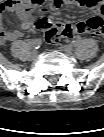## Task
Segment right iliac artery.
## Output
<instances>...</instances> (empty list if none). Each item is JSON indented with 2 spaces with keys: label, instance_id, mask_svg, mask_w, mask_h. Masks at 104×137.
<instances>
[{
  "label": "right iliac artery",
  "instance_id": "right-iliac-artery-1",
  "mask_svg": "<svg viewBox=\"0 0 104 137\" xmlns=\"http://www.w3.org/2000/svg\"><path fill=\"white\" fill-rule=\"evenodd\" d=\"M42 41L41 39H33L30 44L33 48L38 49L41 45Z\"/></svg>",
  "mask_w": 104,
  "mask_h": 137
}]
</instances>
